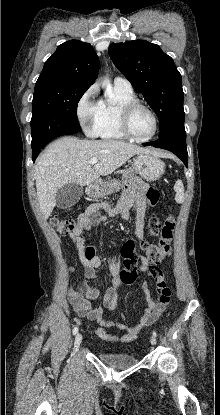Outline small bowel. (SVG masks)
<instances>
[{"label":"small bowel","mask_w":220,"mask_h":415,"mask_svg":"<svg viewBox=\"0 0 220 415\" xmlns=\"http://www.w3.org/2000/svg\"><path fill=\"white\" fill-rule=\"evenodd\" d=\"M147 185L142 180L132 181L123 191L118 203L111 207L107 203H97L89 206L85 213H81L76 218V225L70 237L75 248L82 260L84 266V276L87 279L99 280L98 269L106 267L109 273L114 277L112 285L101 291L97 288H91L85 285L83 281L69 288L67 299L73 307L76 314L80 317H86L89 320L96 321L99 324L97 335L103 340L110 342H130L135 340L140 332L147 326L154 323L163 312L156 311V303L152 299L149 286L143 283L141 290L145 298V307L139 322L134 326H128L123 322L116 323L113 320L104 317V308L112 311L117 306V289L120 286L119 272L120 266L115 257L103 258L96 249L87 244L83 232L101 224L109 217L120 215L123 219L129 217V211L135 207V225L136 235L141 244L144 243V217L146 210L145 193ZM107 214V215H106ZM140 270L147 272L150 270V263L145 256L141 257ZM88 299L99 301L103 307H93ZM117 328L124 331L121 336L108 334L106 329Z\"/></svg>","instance_id":"c3829d8e"}]
</instances>
